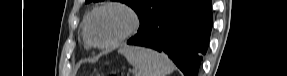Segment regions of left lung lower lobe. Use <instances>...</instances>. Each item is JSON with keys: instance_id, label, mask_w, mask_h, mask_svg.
<instances>
[{"instance_id": "1", "label": "left lung lower lobe", "mask_w": 287, "mask_h": 76, "mask_svg": "<svg viewBox=\"0 0 287 76\" xmlns=\"http://www.w3.org/2000/svg\"><path fill=\"white\" fill-rule=\"evenodd\" d=\"M211 28V0H174L127 44L163 52L185 76H198Z\"/></svg>"}]
</instances>
